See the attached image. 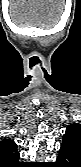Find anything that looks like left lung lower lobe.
<instances>
[{
	"mask_svg": "<svg viewBox=\"0 0 81 167\" xmlns=\"http://www.w3.org/2000/svg\"><path fill=\"white\" fill-rule=\"evenodd\" d=\"M55 167H80L79 159L74 157L70 151L62 147L60 148L59 156L57 157V162Z\"/></svg>",
	"mask_w": 81,
	"mask_h": 167,
	"instance_id": "0a47b994",
	"label": "left lung lower lobe"
}]
</instances>
